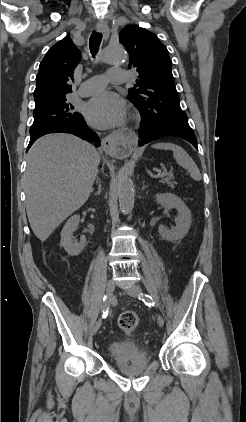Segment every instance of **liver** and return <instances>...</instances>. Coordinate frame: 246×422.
<instances>
[{
  "label": "liver",
  "mask_w": 246,
  "mask_h": 422,
  "mask_svg": "<svg viewBox=\"0 0 246 422\" xmlns=\"http://www.w3.org/2000/svg\"><path fill=\"white\" fill-rule=\"evenodd\" d=\"M100 158L89 143L70 134H48L27 154L26 211L36 237L52 232L89 198Z\"/></svg>",
  "instance_id": "liver-1"
}]
</instances>
